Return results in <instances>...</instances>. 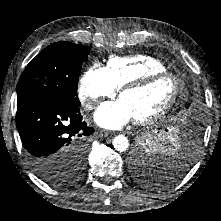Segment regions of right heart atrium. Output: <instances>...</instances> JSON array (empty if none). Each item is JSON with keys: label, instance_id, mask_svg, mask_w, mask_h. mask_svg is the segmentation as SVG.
<instances>
[{"label": "right heart atrium", "instance_id": "obj_1", "mask_svg": "<svg viewBox=\"0 0 221 221\" xmlns=\"http://www.w3.org/2000/svg\"><path fill=\"white\" fill-rule=\"evenodd\" d=\"M116 92L106 68L99 64L89 67L80 78L78 96L87 110L95 108L101 99L113 97Z\"/></svg>", "mask_w": 221, "mask_h": 221}]
</instances>
